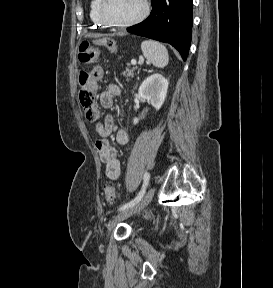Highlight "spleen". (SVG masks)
<instances>
[{"label": "spleen", "instance_id": "spleen-1", "mask_svg": "<svg viewBox=\"0 0 273 288\" xmlns=\"http://www.w3.org/2000/svg\"><path fill=\"white\" fill-rule=\"evenodd\" d=\"M141 49L147 61L155 67L163 68L168 64V51L161 43L153 40L143 41Z\"/></svg>", "mask_w": 273, "mask_h": 288}]
</instances>
